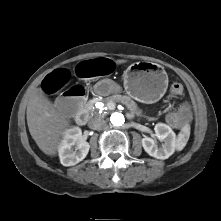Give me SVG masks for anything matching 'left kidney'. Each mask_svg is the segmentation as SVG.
<instances>
[{
  "instance_id": "obj_1",
  "label": "left kidney",
  "mask_w": 221,
  "mask_h": 221,
  "mask_svg": "<svg viewBox=\"0 0 221 221\" xmlns=\"http://www.w3.org/2000/svg\"><path fill=\"white\" fill-rule=\"evenodd\" d=\"M154 130L156 137L163 142L162 146L158 148L156 141L150 137L142 139V146L150 156L162 160L167 159L176 149V135L168 125L163 123L156 124Z\"/></svg>"
}]
</instances>
